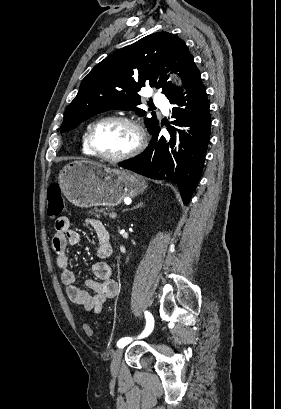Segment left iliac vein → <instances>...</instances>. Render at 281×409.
Returning <instances> with one entry per match:
<instances>
[{
    "mask_svg": "<svg viewBox=\"0 0 281 409\" xmlns=\"http://www.w3.org/2000/svg\"><path fill=\"white\" fill-rule=\"evenodd\" d=\"M123 352H124V349L119 348L113 354V358H112V362H111V372H112L113 375H116L118 373V371H119L121 359H122V356H123Z\"/></svg>",
    "mask_w": 281,
    "mask_h": 409,
    "instance_id": "4c4485c4",
    "label": "left iliac vein"
}]
</instances>
